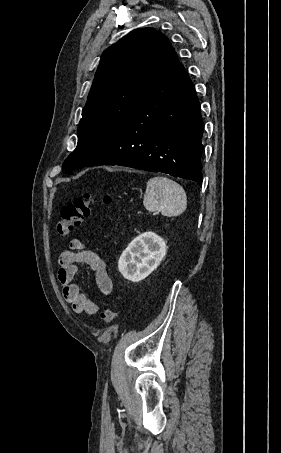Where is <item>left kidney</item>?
I'll return each mask as SVG.
<instances>
[{
	"label": "left kidney",
	"mask_w": 281,
	"mask_h": 453,
	"mask_svg": "<svg viewBox=\"0 0 281 453\" xmlns=\"http://www.w3.org/2000/svg\"><path fill=\"white\" fill-rule=\"evenodd\" d=\"M167 247L164 239L155 233H143L129 243L123 251L118 269L128 281L139 283L146 279L166 255Z\"/></svg>",
	"instance_id": "obj_1"
}]
</instances>
